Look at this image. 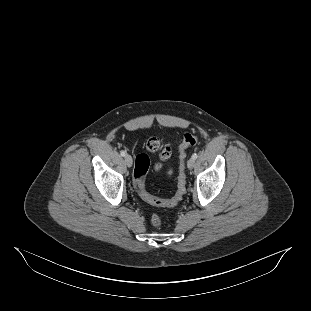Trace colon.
<instances>
[{"label":"colon","mask_w":311,"mask_h":311,"mask_svg":"<svg viewBox=\"0 0 311 311\" xmlns=\"http://www.w3.org/2000/svg\"><path fill=\"white\" fill-rule=\"evenodd\" d=\"M197 141H198L197 135L193 133H186L184 135L182 143L179 146L180 165H179L177 190L175 195L171 199H160L149 194L146 191L143 178L149 168L150 160L146 154H138L136 156L135 169H134L135 183L137 191L143 200L159 207H174L183 199V196L186 192V175H185L186 149L190 146L195 145ZM147 146L148 149L153 152L158 151L161 148L160 143L156 139L149 140ZM162 155L164 157L169 156L168 148L162 151ZM151 223L156 227H160L162 225V219L158 214L154 213L151 216Z\"/></svg>","instance_id":"obj_1"}]
</instances>
